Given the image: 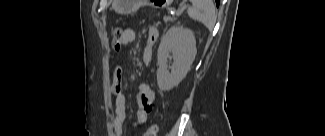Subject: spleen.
<instances>
[{
  "instance_id": "1",
  "label": "spleen",
  "mask_w": 325,
  "mask_h": 136,
  "mask_svg": "<svg viewBox=\"0 0 325 136\" xmlns=\"http://www.w3.org/2000/svg\"><path fill=\"white\" fill-rule=\"evenodd\" d=\"M187 13L192 19L204 24L210 31L216 23L215 6L212 0H193Z\"/></svg>"
}]
</instances>
